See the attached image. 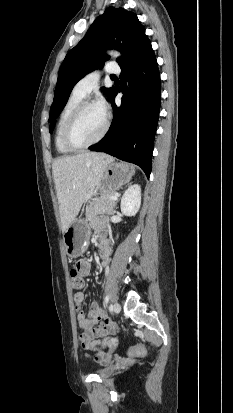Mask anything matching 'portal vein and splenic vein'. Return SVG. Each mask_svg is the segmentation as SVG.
<instances>
[{"mask_svg":"<svg viewBox=\"0 0 233 413\" xmlns=\"http://www.w3.org/2000/svg\"><path fill=\"white\" fill-rule=\"evenodd\" d=\"M111 199H112V200H116L117 197H116V196H112Z\"/></svg>","mask_w":233,"mask_h":413,"instance_id":"18ae733b","label":"portal vein and splenic vein"}]
</instances>
